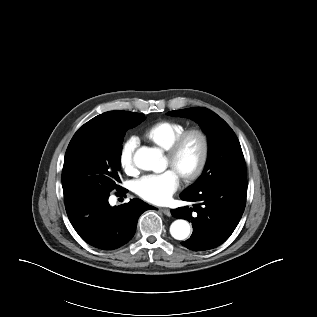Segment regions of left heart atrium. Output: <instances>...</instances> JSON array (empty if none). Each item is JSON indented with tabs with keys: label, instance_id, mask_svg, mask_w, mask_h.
I'll return each instance as SVG.
<instances>
[{
	"label": "left heart atrium",
	"instance_id": "left-heart-atrium-1",
	"mask_svg": "<svg viewBox=\"0 0 317 317\" xmlns=\"http://www.w3.org/2000/svg\"><path fill=\"white\" fill-rule=\"evenodd\" d=\"M179 174L169 169L159 174H149L138 179L134 188L143 199L154 204L167 203L179 188Z\"/></svg>",
	"mask_w": 317,
	"mask_h": 317
}]
</instances>
